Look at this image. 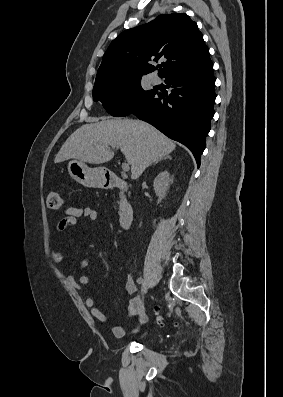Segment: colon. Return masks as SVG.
<instances>
[{
	"label": "colon",
	"instance_id": "colon-1",
	"mask_svg": "<svg viewBox=\"0 0 283 397\" xmlns=\"http://www.w3.org/2000/svg\"><path fill=\"white\" fill-rule=\"evenodd\" d=\"M46 203L48 208L58 210L63 207V198L60 193L56 191H50L46 197ZM163 316L159 315L158 320H162Z\"/></svg>",
	"mask_w": 283,
	"mask_h": 397
}]
</instances>
